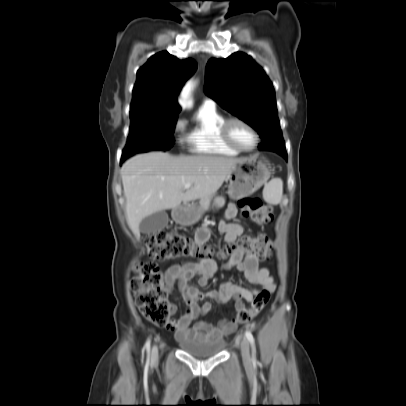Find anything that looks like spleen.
<instances>
[{
    "label": "spleen",
    "mask_w": 406,
    "mask_h": 406,
    "mask_svg": "<svg viewBox=\"0 0 406 406\" xmlns=\"http://www.w3.org/2000/svg\"><path fill=\"white\" fill-rule=\"evenodd\" d=\"M283 195V182L280 178H274L268 182L263 190L264 199L270 204H279Z\"/></svg>",
    "instance_id": "obj_1"
}]
</instances>
